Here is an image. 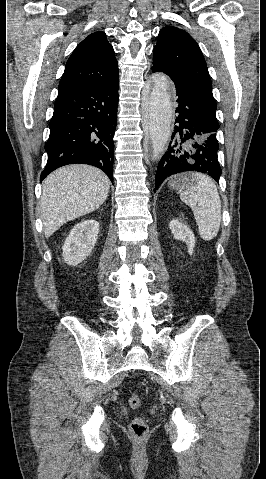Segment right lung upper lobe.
Segmentation results:
<instances>
[{
	"instance_id": "1",
	"label": "right lung upper lobe",
	"mask_w": 266,
	"mask_h": 479,
	"mask_svg": "<svg viewBox=\"0 0 266 479\" xmlns=\"http://www.w3.org/2000/svg\"><path fill=\"white\" fill-rule=\"evenodd\" d=\"M118 77V63L104 32L88 35L71 54L58 91L110 82Z\"/></svg>"
}]
</instances>
